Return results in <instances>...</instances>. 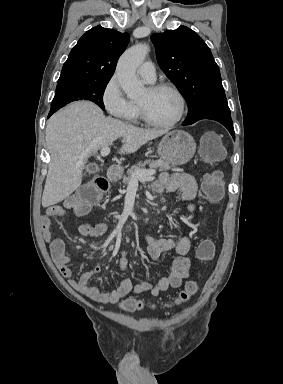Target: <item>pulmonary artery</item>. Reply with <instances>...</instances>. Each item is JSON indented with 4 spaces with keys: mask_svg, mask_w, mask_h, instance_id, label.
Returning <instances> with one entry per match:
<instances>
[{
    "mask_svg": "<svg viewBox=\"0 0 283 384\" xmlns=\"http://www.w3.org/2000/svg\"><path fill=\"white\" fill-rule=\"evenodd\" d=\"M137 73L139 77L151 83L156 79V70L151 62H143L138 67Z\"/></svg>",
    "mask_w": 283,
    "mask_h": 384,
    "instance_id": "obj_1",
    "label": "pulmonary artery"
}]
</instances>
